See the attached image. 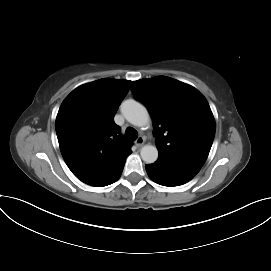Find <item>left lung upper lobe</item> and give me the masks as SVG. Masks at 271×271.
<instances>
[{
	"label": "left lung upper lobe",
	"instance_id": "obj_1",
	"mask_svg": "<svg viewBox=\"0 0 271 271\" xmlns=\"http://www.w3.org/2000/svg\"><path fill=\"white\" fill-rule=\"evenodd\" d=\"M131 87L152 116L159 156L201 168L215 134L205 97L194 87L165 76L133 81Z\"/></svg>",
	"mask_w": 271,
	"mask_h": 271
}]
</instances>
